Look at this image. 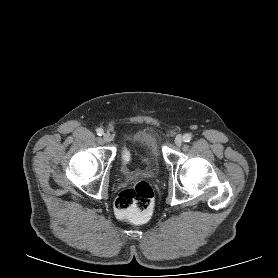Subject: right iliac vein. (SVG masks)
Masks as SVG:
<instances>
[{
    "instance_id": "obj_1",
    "label": "right iliac vein",
    "mask_w": 278,
    "mask_h": 278,
    "mask_svg": "<svg viewBox=\"0 0 278 278\" xmlns=\"http://www.w3.org/2000/svg\"><path fill=\"white\" fill-rule=\"evenodd\" d=\"M103 140L106 143H109L111 141V136L108 133L103 134Z\"/></svg>"
}]
</instances>
